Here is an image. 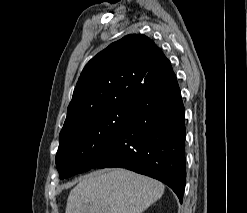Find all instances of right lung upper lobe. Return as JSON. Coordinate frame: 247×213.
Here are the masks:
<instances>
[{"label": "right lung upper lobe", "mask_w": 247, "mask_h": 213, "mask_svg": "<svg viewBox=\"0 0 247 213\" xmlns=\"http://www.w3.org/2000/svg\"><path fill=\"white\" fill-rule=\"evenodd\" d=\"M174 76L170 61L151 39L140 34L123 37L98 53L83 69L60 135Z\"/></svg>", "instance_id": "right-lung-upper-lobe-1"}]
</instances>
